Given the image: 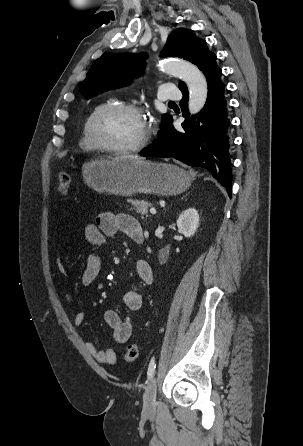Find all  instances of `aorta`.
<instances>
[{"label":"aorta","instance_id":"762f6f07","mask_svg":"<svg viewBox=\"0 0 303 446\" xmlns=\"http://www.w3.org/2000/svg\"><path fill=\"white\" fill-rule=\"evenodd\" d=\"M161 69L181 78L187 84L189 112L198 113L204 107L208 93L207 82L201 71L195 65L185 61H168L161 65Z\"/></svg>","mask_w":303,"mask_h":446}]
</instances>
